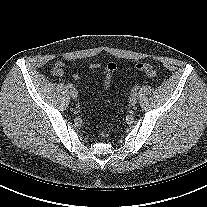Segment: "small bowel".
I'll return each mask as SVG.
<instances>
[{
	"mask_svg": "<svg viewBox=\"0 0 207 207\" xmlns=\"http://www.w3.org/2000/svg\"><path fill=\"white\" fill-rule=\"evenodd\" d=\"M88 67L90 69H101L102 71V76H103V79H102V88L107 90L110 88L111 86V83H112V79H113V76H114V73L115 71L117 70V65L113 62H110V63H107L105 65H101L99 63H90L88 65ZM64 71H65V64L61 61H58L56 62L52 72L55 76H62L64 74ZM72 78L74 80H79L80 79V75L77 74V73H74L72 75Z\"/></svg>",
	"mask_w": 207,
	"mask_h": 207,
	"instance_id": "1",
	"label": "small bowel"
}]
</instances>
